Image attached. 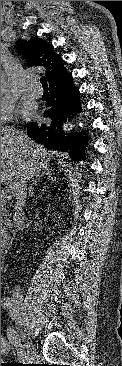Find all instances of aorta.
<instances>
[{
	"instance_id": "obj_1",
	"label": "aorta",
	"mask_w": 122,
	"mask_h": 366,
	"mask_svg": "<svg viewBox=\"0 0 122 366\" xmlns=\"http://www.w3.org/2000/svg\"><path fill=\"white\" fill-rule=\"evenodd\" d=\"M7 85L4 73H1V90L5 89Z\"/></svg>"
}]
</instances>
